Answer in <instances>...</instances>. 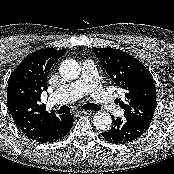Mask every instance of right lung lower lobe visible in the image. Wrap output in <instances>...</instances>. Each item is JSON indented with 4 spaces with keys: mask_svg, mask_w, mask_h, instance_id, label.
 <instances>
[{
    "mask_svg": "<svg viewBox=\"0 0 174 174\" xmlns=\"http://www.w3.org/2000/svg\"><path fill=\"white\" fill-rule=\"evenodd\" d=\"M73 121V116L69 115L67 121L60 125H56V127L50 133L34 138V140L41 143L57 141L70 131Z\"/></svg>",
    "mask_w": 174,
    "mask_h": 174,
    "instance_id": "1",
    "label": "right lung lower lobe"
}]
</instances>
